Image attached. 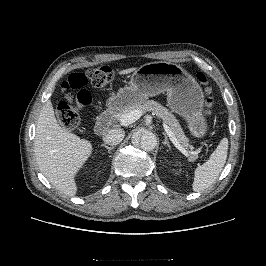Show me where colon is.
<instances>
[{"instance_id": "5ec220e1", "label": "colon", "mask_w": 266, "mask_h": 266, "mask_svg": "<svg viewBox=\"0 0 266 266\" xmlns=\"http://www.w3.org/2000/svg\"><path fill=\"white\" fill-rule=\"evenodd\" d=\"M197 79L204 85H208L207 77L197 73ZM113 78V72L108 66H97L84 72H75L69 75L62 84V100L57 106V119L67 129L76 128L79 124L80 113L86 111L92 102L91 94L86 88L90 82L94 88H104ZM205 101L206 113H211L213 97L209 86L206 88Z\"/></svg>"}]
</instances>
